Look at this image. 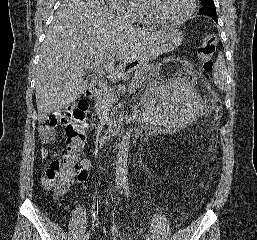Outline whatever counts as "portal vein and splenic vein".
Here are the masks:
<instances>
[{
  "mask_svg": "<svg viewBox=\"0 0 257 240\" xmlns=\"http://www.w3.org/2000/svg\"><path fill=\"white\" fill-rule=\"evenodd\" d=\"M103 62V59L96 58L92 63H86L84 65V69H89L95 73H97L99 76L104 74L103 69H101L100 64ZM135 88L133 85L129 87L130 92L133 91ZM116 99V96L114 97Z\"/></svg>",
  "mask_w": 257,
  "mask_h": 240,
  "instance_id": "18ae733b",
  "label": "portal vein and splenic vein"
}]
</instances>
